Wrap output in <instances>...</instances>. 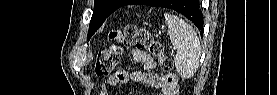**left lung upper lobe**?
Returning <instances> with one entry per match:
<instances>
[{"label":"left lung upper lobe","instance_id":"obj_1","mask_svg":"<svg viewBox=\"0 0 277 95\" xmlns=\"http://www.w3.org/2000/svg\"><path fill=\"white\" fill-rule=\"evenodd\" d=\"M131 0H95L93 15L89 24L88 38H90L104 23L106 18L118 8L127 5ZM183 0H180L181 2ZM173 2L170 4L172 6ZM161 0L151 1L150 6L159 7Z\"/></svg>","mask_w":277,"mask_h":95}]
</instances>
